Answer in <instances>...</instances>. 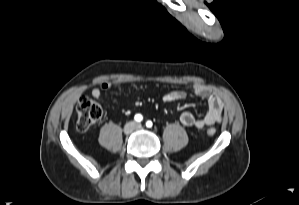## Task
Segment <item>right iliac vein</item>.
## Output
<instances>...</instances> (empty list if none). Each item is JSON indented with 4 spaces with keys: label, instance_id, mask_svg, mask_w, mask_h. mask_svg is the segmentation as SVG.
Instances as JSON below:
<instances>
[{
    "label": "right iliac vein",
    "instance_id": "obj_1",
    "mask_svg": "<svg viewBox=\"0 0 299 205\" xmlns=\"http://www.w3.org/2000/svg\"><path fill=\"white\" fill-rule=\"evenodd\" d=\"M135 129V123L134 122H128L125 126H124V133L126 135L130 134L133 132V130Z\"/></svg>",
    "mask_w": 299,
    "mask_h": 205
}]
</instances>
